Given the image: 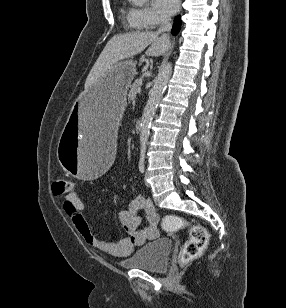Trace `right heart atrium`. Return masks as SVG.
<instances>
[{
  "mask_svg": "<svg viewBox=\"0 0 286 308\" xmlns=\"http://www.w3.org/2000/svg\"><path fill=\"white\" fill-rule=\"evenodd\" d=\"M136 16L139 25L143 29L155 28L166 20L147 6L136 9Z\"/></svg>",
  "mask_w": 286,
  "mask_h": 308,
  "instance_id": "right-heart-atrium-1",
  "label": "right heart atrium"
}]
</instances>
